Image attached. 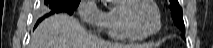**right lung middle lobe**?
Wrapping results in <instances>:
<instances>
[{"label": "right lung middle lobe", "instance_id": "obj_1", "mask_svg": "<svg viewBox=\"0 0 213 48\" xmlns=\"http://www.w3.org/2000/svg\"><path fill=\"white\" fill-rule=\"evenodd\" d=\"M79 3L80 0H45L44 4L46 6L47 14L42 17L41 20L49 15L58 12H67L69 14H72Z\"/></svg>", "mask_w": 213, "mask_h": 48}]
</instances>
